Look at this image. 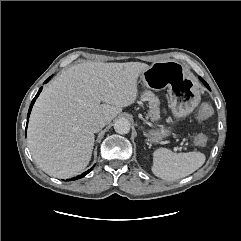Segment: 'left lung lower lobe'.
Wrapping results in <instances>:
<instances>
[{
  "label": "left lung lower lobe",
  "mask_w": 241,
  "mask_h": 241,
  "mask_svg": "<svg viewBox=\"0 0 241 241\" xmlns=\"http://www.w3.org/2000/svg\"><path fill=\"white\" fill-rule=\"evenodd\" d=\"M200 80L206 85L208 89H210L209 85L202 78H200Z\"/></svg>",
  "instance_id": "1"
}]
</instances>
